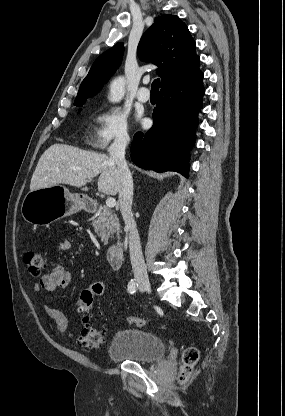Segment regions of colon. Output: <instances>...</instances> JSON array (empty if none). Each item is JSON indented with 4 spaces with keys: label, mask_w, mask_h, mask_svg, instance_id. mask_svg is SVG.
I'll list each match as a JSON object with an SVG mask.
<instances>
[{
    "label": "colon",
    "mask_w": 285,
    "mask_h": 416,
    "mask_svg": "<svg viewBox=\"0 0 285 416\" xmlns=\"http://www.w3.org/2000/svg\"><path fill=\"white\" fill-rule=\"evenodd\" d=\"M24 263L27 265L30 274L37 276L41 273L45 259L41 252L37 250H29L24 255ZM104 284L101 282H94L85 288L79 296V312L82 315L83 327L79 333L78 342L81 346L89 349H96L101 347L107 339L104 329L98 328L93 324V304L97 296L104 293ZM129 324L136 327H143L147 321L139 317H128ZM199 359L198 350L191 347L183 353V371L180 376V382L184 383L192 369Z\"/></svg>",
    "instance_id": "colon-1"
}]
</instances>
